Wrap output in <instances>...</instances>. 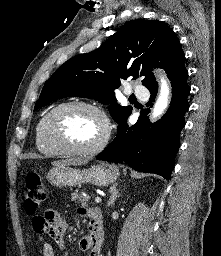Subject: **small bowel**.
<instances>
[{
    "label": "small bowel",
    "mask_w": 221,
    "mask_h": 256,
    "mask_svg": "<svg viewBox=\"0 0 221 256\" xmlns=\"http://www.w3.org/2000/svg\"><path fill=\"white\" fill-rule=\"evenodd\" d=\"M99 210L95 208L80 207L77 209L79 216L89 219V236H84L79 241V248L88 251L89 256L101 255V236L97 233V221L95 214ZM32 228L39 236L48 235L60 249H65L64 234L68 225L66 220L58 212L49 210L44 215H37L32 218ZM43 256H54V248L50 242L45 241L42 246Z\"/></svg>",
    "instance_id": "small-bowel-1"
}]
</instances>
